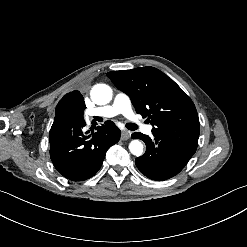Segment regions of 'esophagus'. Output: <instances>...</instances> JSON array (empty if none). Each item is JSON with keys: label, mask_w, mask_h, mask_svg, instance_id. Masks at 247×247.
<instances>
[{"label": "esophagus", "mask_w": 247, "mask_h": 247, "mask_svg": "<svg viewBox=\"0 0 247 247\" xmlns=\"http://www.w3.org/2000/svg\"><path fill=\"white\" fill-rule=\"evenodd\" d=\"M131 134L128 131H123L121 134V139L122 140H128L130 138Z\"/></svg>", "instance_id": "obj_1"}]
</instances>
